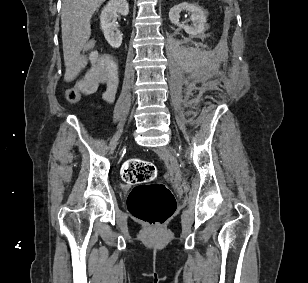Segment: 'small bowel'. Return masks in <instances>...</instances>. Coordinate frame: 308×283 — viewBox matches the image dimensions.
<instances>
[{
  "instance_id": "small-bowel-1",
  "label": "small bowel",
  "mask_w": 308,
  "mask_h": 283,
  "mask_svg": "<svg viewBox=\"0 0 308 283\" xmlns=\"http://www.w3.org/2000/svg\"><path fill=\"white\" fill-rule=\"evenodd\" d=\"M83 71L85 73L78 79V83L85 93L92 94L99 85L104 84V100L112 102L115 99L118 88L117 65L110 55L95 51L88 55H77L68 66L67 76L69 79H75Z\"/></svg>"
}]
</instances>
